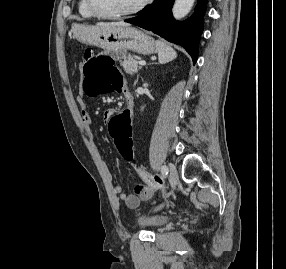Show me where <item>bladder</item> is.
<instances>
[{
	"label": "bladder",
	"mask_w": 286,
	"mask_h": 269,
	"mask_svg": "<svg viewBox=\"0 0 286 269\" xmlns=\"http://www.w3.org/2000/svg\"><path fill=\"white\" fill-rule=\"evenodd\" d=\"M170 218L165 215H157L151 212H143L137 215L136 223L146 230H156L165 226Z\"/></svg>",
	"instance_id": "1"
}]
</instances>
